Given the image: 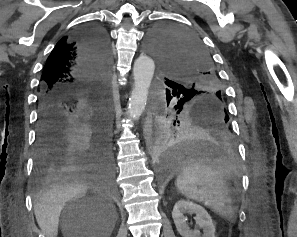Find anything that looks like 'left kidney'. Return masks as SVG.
Masks as SVG:
<instances>
[{
	"mask_svg": "<svg viewBox=\"0 0 297 237\" xmlns=\"http://www.w3.org/2000/svg\"><path fill=\"white\" fill-rule=\"evenodd\" d=\"M186 212L195 214L196 229H190L187 223L188 218L184 216ZM172 218L178 233L182 237H215V226L211 216L198 204L186 200H179L173 208ZM200 229H203L202 235Z\"/></svg>",
	"mask_w": 297,
	"mask_h": 237,
	"instance_id": "left-kidney-1",
	"label": "left kidney"
}]
</instances>
